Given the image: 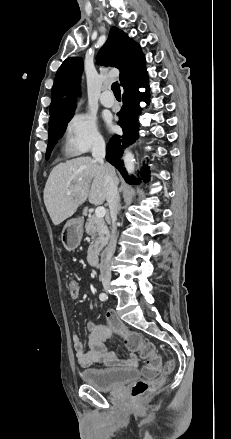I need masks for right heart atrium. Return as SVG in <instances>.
Here are the masks:
<instances>
[{
  "instance_id": "1",
  "label": "right heart atrium",
  "mask_w": 231,
  "mask_h": 439,
  "mask_svg": "<svg viewBox=\"0 0 231 439\" xmlns=\"http://www.w3.org/2000/svg\"><path fill=\"white\" fill-rule=\"evenodd\" d=\"M104 147L105 140L92 116L76 114L69 119L65 129V150L69 155L78 156Z\"/></svg>"
}]
</instances>
